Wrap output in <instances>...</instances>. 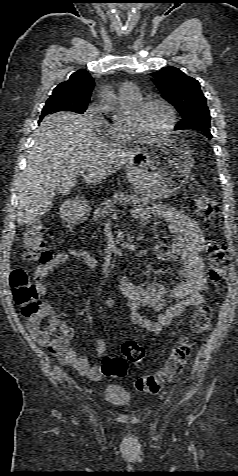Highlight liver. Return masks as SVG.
Returning a JSON list of instances; mask_svg holds the SVG:
<instances>
[{"label":"liver","mask_w":238,"mask_h":476,"mask_svg":"<svg viewBox=\"0 0 238 476\" xmlns=\"http://www.w3.org/2000/svg\"><path fill=\"white\" fill-rule=\"evenodd\" d=\"M34 141L18 186V225L47 213L56 193L67 194L75 187L78 172L87 171L84 182L96 184L143 152L101 141L87 118L72 113L44 117Z\"/></svg>","instance_id":"1"}]
</instances>
